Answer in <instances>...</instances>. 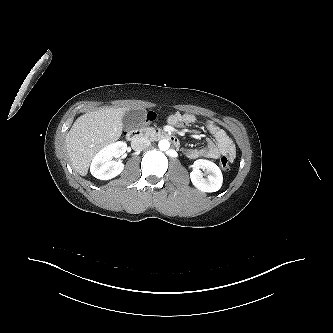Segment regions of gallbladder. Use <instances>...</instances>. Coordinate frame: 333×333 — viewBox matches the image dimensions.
Here are the masks:
<instances>
[{"mask_svg":"<svg viewBox=\"0 0 333 333\" xmlns=\"http://www.w3.org/2000/svg\"><path fill=\"white\" fill-rule=\"evenodd\" d=\"M144 116L145 112L141 109L126 112L123 116V127L129 131L136 129L143 121Z\"/></svg>","mask_w":333,"mask_h":333,"instance_id":"bac80fb5","label":"gallbladder"}]
</instances>
